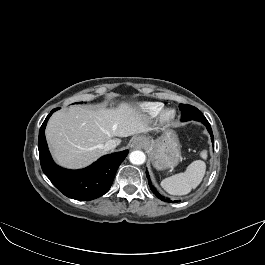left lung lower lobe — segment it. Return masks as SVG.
Returning a JSON list of instances; mask_svg holds the SVG:
<instances>
[{"label": "left lung lower lobe", "instance_id": "left-lung-lower-lobe-1", "mask_svg": "<svg viewBox=\"0 0 265 265\" xmlns=\"http://www.w3.org/2000/svg\"><path fill=\"white\" fill-rule=\"evenodd\" d=\"M192 120H196V121H201L206 127H207V130L208 132L211 134V141L214 142V138H213V133H212V129H211V126L209 124V122L207 121V119L204 117V116H200V117H195L194 119ZM214 146V145H213ZM146 176L148 178V183H149V186H150V189L152 190V192L162 201H165V202H178V201H172L170 200L169 198H165L164 196H162L157 190L156 188L152 185L151 181H150V178H149V174L148 172L146 171Z\"/></svg>", "mask_w": 265, "mask_h": 265}]
</instances>
